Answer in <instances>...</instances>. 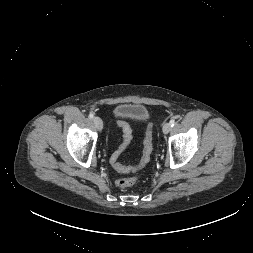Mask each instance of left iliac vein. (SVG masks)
Here are the masks:
<instances>
[{
	"mask_svg": "<svg viewBox=\"0 0 253 253\" xmlns=\"http://www.w3.org/2000/svg\"><path fill=\"white\" fill-rule=\"evenodd\" d=\"M170 130H171V125H170V123H165V124L163 125V133H164V134H167V133H169Z\"/></svg>",
	"mask_w": 253,
	"mask_h": 253,
	"instance_id": "1",
	"label": "left iliac vein"
}]
</instances>
